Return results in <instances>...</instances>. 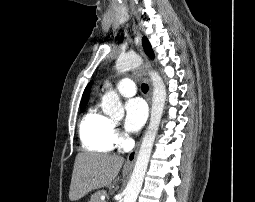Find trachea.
<instances>
[{
    "label": "trachea",
    "mask_w": 255,
    "mask_h": 202,
    "mask_svg": "<svg viewBox=\"0 0 255 202\" xmlns=\"http://www.w3.org/2000/svg\"><path fill=\"white\" fill-rule=\"evenodd\" d=\"M142 91L144 92V93H146L147 91H148V85L147 84H142Z\"/></svg>",
    "instance_id": "trachea-1"
}]
</instances>
